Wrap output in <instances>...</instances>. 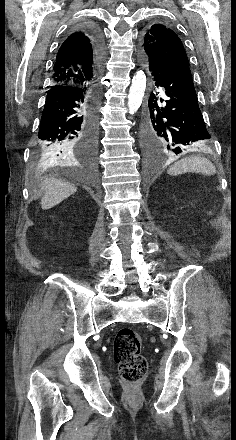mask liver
<instances>
[{
    "mask_svg": "<svg viewBox=\"0 0 236 440\" xmlns=\"http://www.w3.org/2000/svg\"><path fill=\"white\" fill-rule=\"evenodd\" d=\"M42 187L45 190L41 199V208L43 210L51 209L77 191V188L72 183L54 178L45 179Z\"/></svg>",
    "mask_w": 236,
    "mask_h": 440,
    "instance_id": "1",
    "label": "liver"
}]
</instances>
